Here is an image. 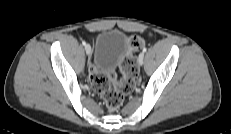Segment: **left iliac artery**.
<instances>
[{
    "instance_id": "1",
    "label": "left iliac artery",
    "mask_w": 231,
    "mask_h": 134,
    "mask_svg": "<svg viewBox=\"0 0 231 134\" xmlns=\"http://www.w3.org/2000/svg\"><path fill=\"white\" fill-rule=\"evenodd\" d=\"M146 51H147V49H146V48H143L142 52L145 53Z\"/></svg>"
}]
</instances>
